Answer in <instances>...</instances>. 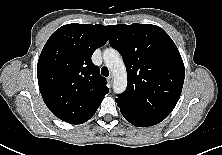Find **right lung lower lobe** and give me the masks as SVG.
I'll return each mask as SVG.
<instances>
[{
	"label": "right lung lower lobe",
	"instance_id": "1",
	"mask_svg": "<svg viewBox=\"0 0 222 155\" xmlns=\"http://www.w3.org/2000/svg\"><path fill=\"white\" fill-rule=\"evenodd\" d=\"M93 115H94V114H93ZM93 115H92V116H93ZM92 116H91V117H92ZM91 117H90V118H91ZM90 118H88L87 120H89ZM87 120H85L84 122H86ZM84 122H82V123H84Z\"/></svg>",
	"mask_w": 222,
	"mask_h": 155
}]
</instances>
